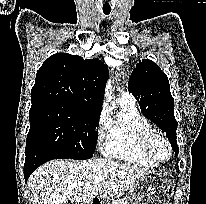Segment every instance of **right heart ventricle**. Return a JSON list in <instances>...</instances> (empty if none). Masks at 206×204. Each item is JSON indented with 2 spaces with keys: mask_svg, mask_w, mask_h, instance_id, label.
<instances>
[{
  "mask_svg": "<svg viewBox=\"0 0 206 204\" xmlns=\"http://www.w3.org/2000/svg\"><path fill=\"white\" fill-rule=\"evenodd\" d=\"M119 106V112L108 118L103 155L138 166H155L143 154L139 145L142 133L151 128L150 123L136 105L120 101Z\"/></svg>",
  "mask_w": 206,
  "mask_h": 204,
  "instance_id": "e07e8e85",
  "label": "right heart ventricle"
}]
</instances>
